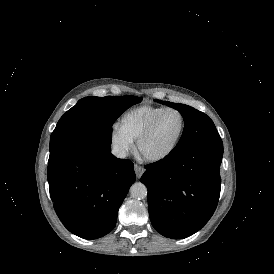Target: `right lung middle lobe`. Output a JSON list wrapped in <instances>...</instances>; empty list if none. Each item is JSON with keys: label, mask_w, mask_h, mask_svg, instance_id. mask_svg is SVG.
I'll return each mask as SVG.
<instances>
[{"label": "right lung middle lobe", "mask_w": 274, "mask_h": 274, "mask_svg": "<svg viewBox=\"0 0 274 274\" xmlns=\"http://www.w3.org/2000/svg\"><path fill=\"white\" fill-rule=\"evenodd\" d=\"M141 100L135 96H89L79 100L58 121L50 137V152L91 131L111 129L122 111Z\"/></svg>", "instance_id": "obj_1"}]
</instances>
